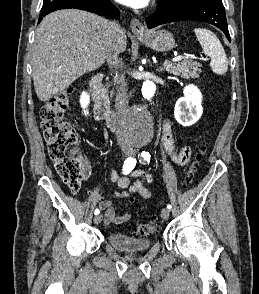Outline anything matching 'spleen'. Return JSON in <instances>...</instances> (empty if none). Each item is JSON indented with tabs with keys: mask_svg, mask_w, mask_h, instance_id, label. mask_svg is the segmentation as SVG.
Returning a JSON list of instances; mask_svg holds the SVG:
<instances>
[{
	"mask_svg": "<svg viewBox=\"0 0 259 294\" xmlns=\"http://www.w3.org/2000/svg\"><path fill=\"white\" fill-rule=\"evenodd\" d=\"M194 32L204 53L211 58L212 71L218 75H224L228 70V60L218 37L208 29L196 28Z\"/></svg>",
	"mask_w": 259,
	"mask_h": 294,
	"instance_id": "1",
	"label": "spleen"
}]
</instances>
